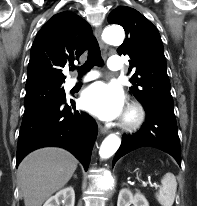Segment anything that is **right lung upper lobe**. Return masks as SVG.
Returning a JSON list of instances; mask_svg holds the SVG:
<instances>
[{
    "instance_id": "obj_1",
    "label": "right lung upper lobe",
    "mask_w": 197,
    "mask_h": 206,
    "mask_svg": "<svg viewBox=\"0 0 197 206\" xmlns=\"http://www.w3.org/2000/svg\"><path fill=\"white\" fill-rule=\"evenodd\" d=\"M91 35L90 25L75 13L61 12L50 18L31 47L26 89L61 87L66 78L62 68L78 60Z\"/></svg>"
}]
</instances>
